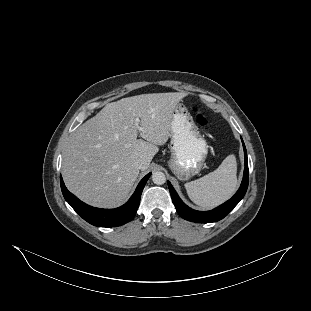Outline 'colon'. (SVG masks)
Returning a JSON list of instances; mask_svg holds the SVG:
<instances>
[{"mask_svg": "<svg viewBox=\"0 0 311 311\" xmlns=\"http://www.w3.org/2000/svg\"><path fill=\"white\" fill-rule=\"evenodd\" d=\"M191 112L199 126L205 127L208 125L207 117L197 107H192Z\"/></svg>", "mask_w": 311, "mask_h": 311, "instance_id": "colon-1", "label": "colon"}]
</instances>
